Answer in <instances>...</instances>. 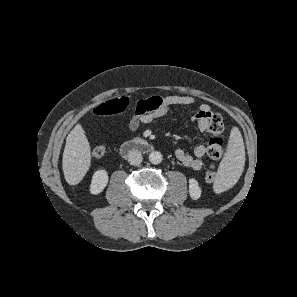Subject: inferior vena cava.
<instances>
[{"label": "inferior vena cava", "instance_id": "1", "mask_svg": "<svg viewBox=\"0 0 297 297\" xmlns=\"http://www.w3.org/2000/svg\"><path fill=\"white\" fill-rule=\"evenodd\" d=\"M142 155L139 151L133 150L128 154V162L131 165H139L142 162Z\"/></svg>", "mask_w": 297, "mask_h": 297}]
</instances>
